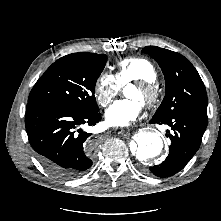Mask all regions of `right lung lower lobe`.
Listing matches in <instances>:
<instances>
[{"mask_svg": "<svg viewBox=\"0 0 221 221\" xmlns=\"http://www.w3.org/2000/svg\"><path fill=\"white\" fill-rule=\"evenodd\" d=\"M101 114H84L39 100L28 101L25 127L39 162L51 174L64 179L82 175L91 165L95 144L80 126H94Z\"/></svg>", "mask_w": 221, "mask_h": 221, "instance_id": "98d812e1", "label": "right lung lower lobe"}]
</instances>
